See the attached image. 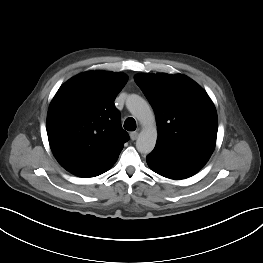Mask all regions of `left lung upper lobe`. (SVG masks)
Segmentation results:
<instances>
[{"label":"left lung upper lobe","mask_w":263,"mask_h":263,"mask_svg":"<svg viewBox=\"0 0 263 263\" xmlns=\"http://www.w3.org/2000/svg\"><path fill=\"white\" fill-rule=\"evenodd\" d=\"M135 82L152 105L158 127L156 147L211 155L218 120L208 94L189 77L138 74Z\"/></svg>","instance_id":"left-lung-upper-lobe-1"}]
</instances>
